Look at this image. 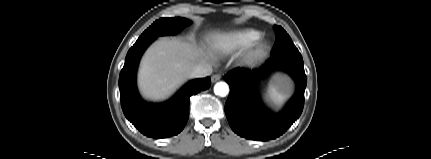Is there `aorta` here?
<instances>
[{"mask_svg":"<svg viewBox=\"0 0 431 159\" xmlns=\"http://www.w3.org/2000/svg\"><path fill=\"white\" fill-rule=\"evenodd\" d=\"M214 93L218 96L225 97L229 93V86L225 82H218L214 86Z\"/></svg>","mask_w":431,"mask_h":159,"instance_id":"obj_1","label":"aorta"}]
</instances>
